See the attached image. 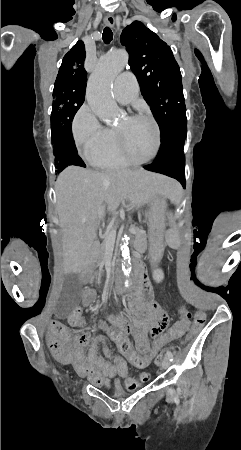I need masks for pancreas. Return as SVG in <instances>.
Instances as JSON below:
<instances>
[{
	"instance_id": "pancreas-1",
	"label": "pancreas",
	"mask_w": 241,
	"mask_h": 450,
	"mask_svg": "<svg viewBox=\"0 0 241 450\" xmlns=\"http://www.w3.org/2000/svg\"><path fill=\"white\" fill-rule=\"evenodd\" d=\"M130 228H132V227H130ZM141 231H142V228L137 227L136 234H134V236L136 237V241L134 242V245H135L134 249L135 250H143V251L149 250L150 246L148 245V242H147L148 239L146 236H144L143 232H141ZM130 232H132V231H130ZM105 238H106V236H105ZM106 244H107V240H104V242H102V244H101V248H100V252H99V260H98L97 264H98L100 270H102V268L105 264L104 256H105V252H106Z\"/></svg>"
}]
</instances>
